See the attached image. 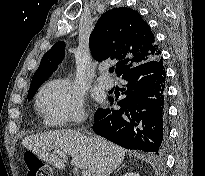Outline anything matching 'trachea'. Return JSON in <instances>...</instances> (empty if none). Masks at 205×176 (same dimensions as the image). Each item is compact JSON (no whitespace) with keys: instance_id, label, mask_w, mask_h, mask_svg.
Returning a JSON list of instances; mask_svg holds the SVG:
<instances>
[{"instance_id":"3493384b","label":"trachea","mask_w":205,"mask_h":176,"mask_svg":"<svg viewBox=\"0 0 205 176\" xmlns=\"http://www.w3.org/2000/svg\"><path fill=\"white\" fill-rule=\"evenodd\" d=\"M109 71H110V73H113V72H114V67H111V68L109 69Z\"/></svg>"}]
</instances>
